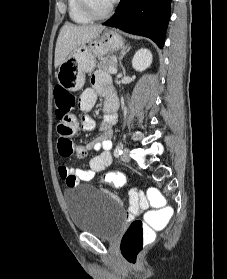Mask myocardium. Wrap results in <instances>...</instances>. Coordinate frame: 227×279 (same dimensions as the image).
<instances>
[{
    "label": "myocardium",
    "instance_id": "obj_1",
    "mask_svg": "<svg viewBox=\"0 0 227 279\" xmlns=\"http://www.w3.org/2000/svg\"><path fill=\"white\" fill-rule=\"evenodd\" d=\"M79 6L83 13L92 20H101L108 18L115 6L116 0H113L106 12L102 14L96 13L90 6L89 0H78Z\"/></svg>",
    "mask_w": 227,
    "mask_h": 279
}]
</instances>
